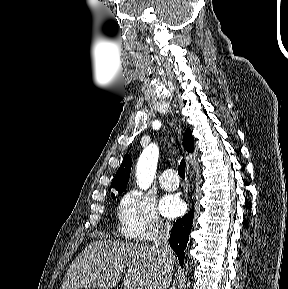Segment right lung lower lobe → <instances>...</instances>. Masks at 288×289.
<instances>
[{
	"label": "right lung lower lobe",
	"instance_id": "98d812e1",
	"mask_svg": "<svg viewBox=\"0 0 288 289\" xmlns=\"http://www.w3.org/2000/svg\"><path fill=\"white\" fill-rule=\"evenodd\" d=\"M193 222V213L189 212L181 219L177 220L171 230L170 246L178 256L179 263H184V250L189 240V234L191 232Z\"/></svg>",
	"mask_w": 288,
	"mask_h": 289
}]
</instances>
